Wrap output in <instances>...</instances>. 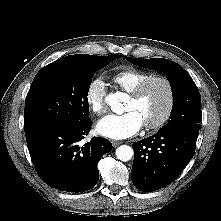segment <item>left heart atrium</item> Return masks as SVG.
<instances>
[{"label":"left heart atrium","mask_w":221,"mask_h":221,"mask_svg":"<svg viewBox=\"0 0 221 221\" xmlns=\"http://www.w3.org/2000/svg\"><path fill=\"white\" fill-rule=\"evenodd\" d=\"M143 123L134 111L123 114H109L100 119L96 125L97 132L109 139L120 140L135 135Z\"/></svg>","instance_id":"left-heart-atrium-1"}]
</instances>
